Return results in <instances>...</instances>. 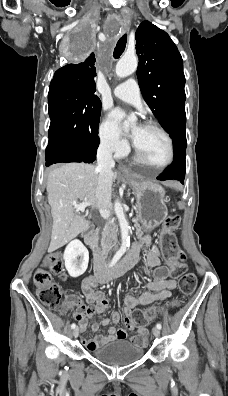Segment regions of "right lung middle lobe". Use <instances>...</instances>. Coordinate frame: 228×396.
Masks as SVG:
<instances>
[{"instance_id": "right-lung-middle-lobe-1", "label": "right lung middle lobe", "mask_w": 228, "mask_h": 396, "mask_svg": "<svg viewBox=\"0 0 228 396\" xmlns=\"http://www.w3.org/2000/svg\"><path fill=\"white\" fill-rule=\"evenodd\" d=\"M93 49V40L87 32H80L74 50L82 59ZM50 128L49 144H59L86 163L96 158L99 145L98 126L101 101L67 83H51L48 93Z\"/></svg>"}]
</instances>
